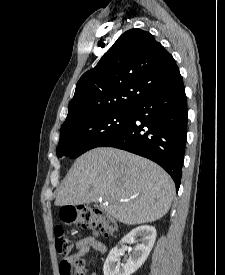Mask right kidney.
I'll return each mask as SVG.
<instances>
[{"mask_svg":"<svg viewBox=\"0 0 225 275\" xmlns=\"http://www.w3.org/2000/svg\"><path fill=\"white\" fill-rule=\"evenodd\" d=\"M137 237L142 243L136 245L126 264L120 263L118 246L111 249L103 266L104 275H131L144 264L155 243L156 229L149 225L139 226L125 235L120 244L132 243Z\"/></svg>","mask_w":225,"mask_h":275,"instance_id":"right-kidney-1","label":"right kidney"}]
</instances>
